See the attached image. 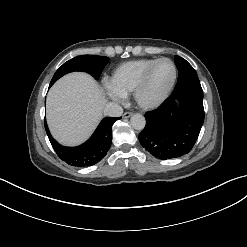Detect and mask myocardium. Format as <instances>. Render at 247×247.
I'll return each mask as SVG.
<instances>
[{"mask_svg":"<svg viewBox=\"0 0 247 247\" xmlns=\"http://www.w3.org/2000/svg\"><path fill=\"white\" fill-rule=\"evenodd\" d=\"M161 61H168L172 65L173 76H172L171 82L168 85L167 89L164 91V93L160 97H158L157 99H154V100H150V101L145 100L142 97V93H143L144 87L146 85V82L148 80V77L150 75V72L153 69V67ZM176 80H177V67H176L175 63L170 58H167V57H160V58L155 59L143 71V73L141 74L138 82L136 83V85L133 89L132 93H133V98H134L136 104L139 107L146 109V110H152V109L159 107L169 97V95H170V93H171V91H172V89L176 83Z\"/></svg>","mask_w":247,"mask_h":247,"instance_id":"1","label":"myocardium"}]
</instances>
